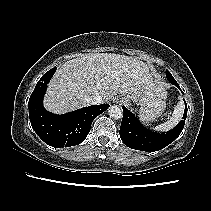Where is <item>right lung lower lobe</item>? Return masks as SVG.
<instances>
[{
	"mask_svg": "<svg viewBox=\"0 0 211 211\" xmlns=\"http://www.w3.org/2000/svg\"><path fill=\"white\" fill-rule=\"evenodd\" d=\"M56 67L46 72L36 84L29 99V117L32 128L48 145L56 148L70 147L83 142L91 128L92 121L110 105L101 104L55 115L43 107V97Z\"/></svg>",
	"mask_w": 211,
	"mask_h": 211,
	"instance_id": "obj_1",
	"label": "right lung lower lobe"
}]
</instances>
